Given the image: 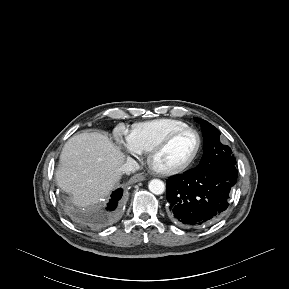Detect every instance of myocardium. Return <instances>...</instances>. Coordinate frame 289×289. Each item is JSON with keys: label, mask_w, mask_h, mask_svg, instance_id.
I'll use <instances>...</instances> for the list:
<instances>
[{"label": "myocardium", "mask_w": 289, "mask_h": 289, "mask_svg": "<svg viewBox=\"0 0 289 289\" xmlns=\"http://www.w3.org/2000/svg\"><path fill=\"white\" fill-rule=\"evenodd\" d=\"M185 132H192L196 135L197 137V146L195 148V151L193 152V154L189 157V159H187L185 162H183L180 165L171 167V168H159L156 164H155V158L156 156L179 134L185 133ZM202 148V137L200 135V133L192 128V127H184V128H180V129H176L174 131H171L170 133H168L166 136H164L160 141H158L148 152V164L150 166V168L158 173L159 175H163V176H170V175H174L177 173H180L184 170H186L187 168H189L194 161L197 159L200 151Z\"/></svg>", "instance_id": "myocardium-1"}]
</instances>
